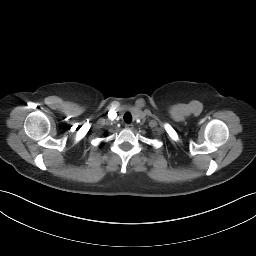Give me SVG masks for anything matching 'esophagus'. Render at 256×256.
I'll return each instance as SVG.
<instances>
[{
	"instance_id": "1",
	"label": "esophagus",
	"mask_w": 256,
	"mask_h": 256,
	"mask_svg": "<svg viewBox=\"0 0 256 256\" xmlns=\"http://www.w3.org/2000/svg\"><path fill=\"white\" fill-rule=\"evenodd\" d=\"M125 127H126V129H129V130L133 129V125L132 124H125Z\"/></svg>"
}]
</instances>
